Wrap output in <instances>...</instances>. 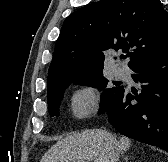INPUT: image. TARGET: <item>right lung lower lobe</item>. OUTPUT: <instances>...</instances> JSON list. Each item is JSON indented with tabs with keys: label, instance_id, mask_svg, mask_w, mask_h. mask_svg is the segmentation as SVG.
I'll use <instances>...</instances> for the list:
<instances>
[{
	"label": "right lung lower lobe",
	"instance_id": "right-lung-lower-lobe-1",
	"mask_svg": "<svg viewBox=\"0 0 168 162\" xmlns=\"http://www.w3.org/2000/svg\"><path fill=\"white\" fill-rule=\"evenodd\" d=\"M141 90L125 87L106 111L118 132L168 152V51L132 68Z\"/></svg>",
	"mask_w": 168,
	"mask_h": 162
}]
</instances>
